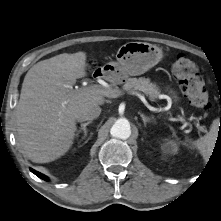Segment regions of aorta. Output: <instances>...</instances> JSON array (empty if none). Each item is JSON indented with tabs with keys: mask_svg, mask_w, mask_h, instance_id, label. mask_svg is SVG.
Listing matches in <instances>:
<instances>
[{
	"mask_svg": "<svg viewBox=\"0 0 221 221\" xmlns=\"http://www.w3.org/2000/svg\"><path fill=\"white\" fill-rule=\"evenodd\" d=\"M110 133L113 137L119 139H128L131 135L130 122L126 118H119L113 124Z\"/></svg>",
	"mask_w": 221,
	"mask_h": 221,
	"instance_id": "762f6f07",
	"label": "aorta"
}]
</instances>
